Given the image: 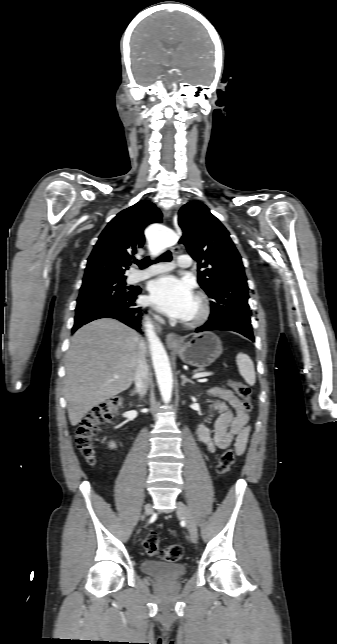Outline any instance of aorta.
I'll return each instance as SVG.
<instances>
[{"instance_id":"1","label":"aorta","mask_w":337,"mask_h":644,"mask_svg":"<svg viewBox=\"0 0 337 644\" xmlns=\"http://www.w3.org/2000/svg\"><path fill=\"white\" fill-rule=\"evenodd\" d=\"M153 238L158 242V248L153 250V254L158 252L161 246H165L174 242L172 233L163 230L160 233L154 234ZM147 337L149 341V348L151 352L152 362L157 378V383L160 389L162 399L165 403L170 402L173 389V376L169 363L167 353L161 343L160 339L156 336L150 323L146 324Z\"/></svg>"}]
</instances>
